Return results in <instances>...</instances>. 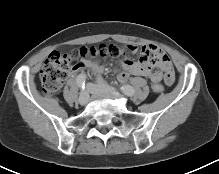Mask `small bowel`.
I'll return each mask as SVG.
<instances>
[{"label": "small bowel", "mask_w": 219, "mask_h": 174, "mask_svg": "<svg viewBox=\"0 0 219 174\" xmlns=\"http://www.w3.org/2000/svg\"><path fill=\"white\" fill-rule=\"evenodd\" d=\"M127 48L135 53L138 47L135 44L127 45ZM157 67L161 71H154ZM90 69L94 73H101L104 70V65L98 61H83L76 70ZM122 71L118 76L120 82H125L130 75H138L150 78L153 82L164 79L167 85H172L174 82V70L166 53L155 45H146L142 48L140 62H133L129 59H124L121 62ZM164 72V75L163 73Z\"/></svg>", "instance_id": "1"}]
</instances>
